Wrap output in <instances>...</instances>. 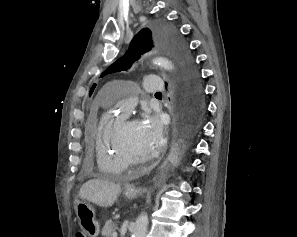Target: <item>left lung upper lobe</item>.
<instances>
[{"label":"left lung upper lobe","instance_id":"1","mask_svg":"<svg viewBox=\"0 0 297 237\" xmlns=\"http://www.w3.org/2000/svg\"><path fill=\"white\" fill-rule=\"evenodd\" d=\"M156 46L164 47L178 60L181 67L183 95L188 96L197 105L202 106V86L199 74L187 51V47L179 37L177 31L163 23L156 24L153 31L144 28L136 34L126 54L112 64L101 76L127 70L131 67L133 62L139 59L140 54L146 53ZM95 87L96 84H93L90 95Z\"/></svg>","mask_w":297,"mask_h":237}]
</instances>
